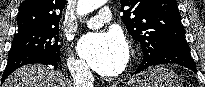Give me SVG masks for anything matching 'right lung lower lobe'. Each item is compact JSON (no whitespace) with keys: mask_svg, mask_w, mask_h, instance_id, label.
<instances>
[{"mask_svg":"<svg viewBox=\"0 0 205 87\" xmlns=\"http://www.w3.org/2000/svg\"><path fill=\"white\" fill-rule=\"evenodd\" d=\"M32 63L52 65L55 69H57L59 61L29 52L8 54V62L2 76V83L17 68Z\"/></svg>","mask_w":205,"mask_h":87,"instance_id":"98d812e1","label":"right lung lower lobe"}]
</instances>
